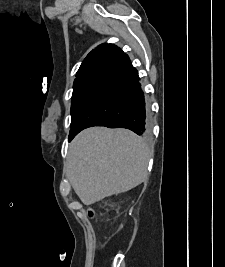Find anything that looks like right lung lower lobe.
<instances>
[{
	"label": "right lung lower lobe",
	"mask_w": 225,
	"mask_h": 267,
	"mask_svg": "<svg viewBox=\"0 0 225 267\" xmlns=\"http://www.w3.org/2000/svg\"><path fill=\"white\" fill-rule=\"evenodd\" d=\"M139 80L138 71L132 66L128 55L121 54L98 77L85 96L69 141L92 126L127 128L138 135H147L146 106Z\"/></svg>",
	"instance_id": "98d812e1"
}]
</instances>
